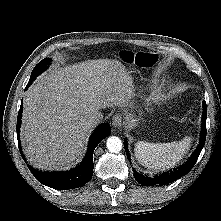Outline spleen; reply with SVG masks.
I'll use <instances>...</instances> for the list:
<instances>
[{"label": "spleen", "instance_id": "spleen-1", "mask_svg": "<svg viewBox=\"0 0 221 221\" xmlns=\"http://www.w3.org/2000/svg\"><path fill=\"white\" fill-rule=\"evenodd\" d=\"M191 138L186 136L181 141L169 143H151L138 141L135 143V157L143 166L165 171L174 167L190 148Z\"/></svg>", "mask_w": 221, "mask_h": 221}]
</instances>
